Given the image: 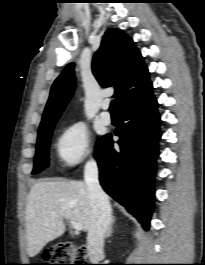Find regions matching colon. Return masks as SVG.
<instances>
[{"mask_svg":"<svg viewBox=\"0 0 205 265\" xmlns=\"http://www.w3.org/2000/svg\"><path fill=\"white\" fill-rule=\"evenodd\" d=\"M87 250L85 246L60 243L49 248L44 254L45 265H86Z\"/></svg>","mask_w":205,"mask_h":265,"instance_id":"5ec220e1","label":"colon"}]
</instances>
